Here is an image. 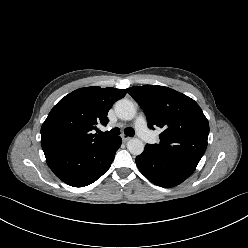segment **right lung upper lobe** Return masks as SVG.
Segmentation results:
<instances>
[{
	"instance_id": "cb5924a9",
	"label": "right lung upper lobe",
	"mask_w": 248,
	"mask_h": 248,
	"mask_svg": "<svg viewBox=\"0 0 248 248\" xmlns=\"http://www.w3.org/2000/svg\"><path fill=\"white\" fill-rule=\"evenodd\" d=\"M125 94L124 89L85 87L66 95L41 127L44 153L85 150L110 141L113 137H100L91 131L97 124L108 123V111Z\"/></svg>"
}]
</instances>
